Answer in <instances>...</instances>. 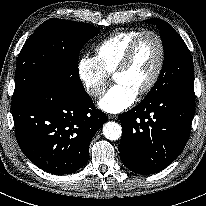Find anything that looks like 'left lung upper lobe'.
Here are the masks:
<instances>
[{
	"instance_id": "left-lung-upper-lobe-1",
	"label": "left lung upper lobe",
	"mask_w": 206,
	"mask_h": 206,
	"mask_svg": "<svg viewBox=\"0 0 206 206\" xmlns=\"http://www.w3.org/2000/svg\"><path fill=\"white\" fill-rule=\"evenodd\" d=\"M160 29L164 48V64L159 79L142 102L180 90H194V69L190 52L179 34L167 22L145 20Z\"/></svg>"
}]
</instances>
